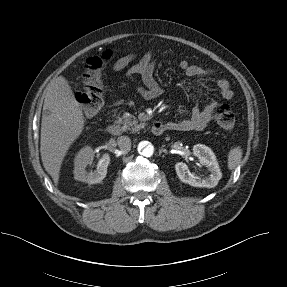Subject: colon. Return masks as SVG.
<instances>
[{
	"mask_svg": "<svg viewBox=\"0 0 287 287\" xmlns=\"http://www.w3.org/2000/svg\"><path fill=\"white\" fill-rule=\"evenodd\" d=\"M111 59L112 53L107 51L98 57L90 58L87 62V72L82 81L83 90L76 94V100L82 106L86 116L96 114L103 105L104 92L101 71ZM214 118L224 130L230 131L235 126V114L228 104L217 105L214 110Z\"/></svg>",
	"mask_w": 287,
	"mask_h": 287,
	"instance_id": "colon-1",
	"label": "colon"
}]
</instances>
